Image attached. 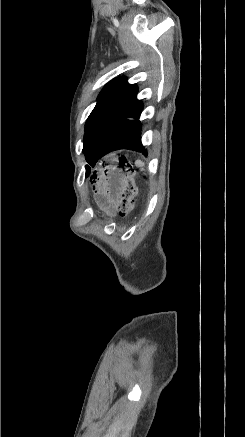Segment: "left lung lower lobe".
Masks as SVG:
<instances>
[{
  "instance_id": "1",
  "label": "left lung lower lobe",
  "mask_w": 245,
  "mask_h": 437,
  "mask_svg": "<svg viewBox=\"0 0 245 437\" xmlns=\"http://www.w3.org/2000/svg\"><path fill=\"white\" fill-rule=\"evenodd\" d=\"M142 109V102L135 99L127 112L112 128L97 155V161L107 153L118 149H130L146 153L141 143V123L137 120ZM92 167H94V164Z\"/></svg>"
}]
</instances>
